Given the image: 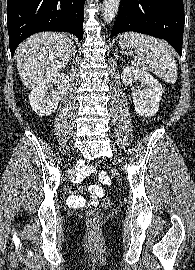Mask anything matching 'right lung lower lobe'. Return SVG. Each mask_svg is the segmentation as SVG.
Instances as JSON below:
<instances>
[{"instance_id": "obj_1", "label": "right lung lower lobe", "mask_w": 195, "mask_h": 270, "mask_svg": "<svg viewBox=\"0 0 195 270\" xmlns=\"http://www.w3.org/2000/svg\"><path fill=\"white\" fill-rule=\"evenodd\" d=\"M85 0H7V27L11 55L34 33L63 31L83 39Z\"/></svg>"}]
</instances>
